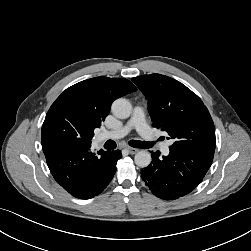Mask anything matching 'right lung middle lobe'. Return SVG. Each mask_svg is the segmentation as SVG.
I'll return each instance as SVG.
<instances>
[{"label": "right lung middle lobe", "mask_w": 251, "mask_h": 251, "mask_svg": "<svg viewBox=\"0 0 251 251\" xmlns=\"http://www.w3.org/2000/svg\"><path fill=\"white\" fill-rule=\"evenodd\" d=\"M92 135L75 118L62 112L47 114L42 126V145L67 144L87 146L91 144Z\"/></svg>", "instance_id": "1"}]
</instances>
